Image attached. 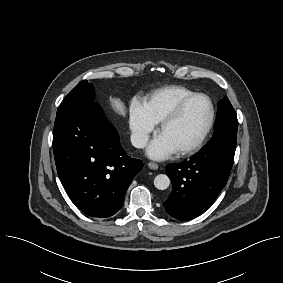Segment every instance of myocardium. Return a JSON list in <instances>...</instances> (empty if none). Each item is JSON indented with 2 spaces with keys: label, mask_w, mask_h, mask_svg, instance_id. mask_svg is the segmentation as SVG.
<instances>
[{
  "label": "myocardium",
  "mask_w": 283,
  "mask_h": 283,
  "mask_svg": "<svg viewBox=\"0 0 283 283\" xmlns=\"http://www.w3.org/2000/svg\"><path fill=\"white\" fill-rule=\"evenodd\" d=\"M198 98H205L209 101L210 103V118L208 121V124L205 128V130L203 131L202 135L200 136V138L193 143L192 145L183 148L179 151H176V154L178 156H188V155H192L194 153H196L206 142L212 128L215 122V116H216V108H215V104L212 100V98L210 96H208L207 94L204 93H195L185 99H183L174 109L173 111L167 115L161 122H160V126L158 129V132L161 133L164 129H166L169 125H171L172 123H174L183 113V111L185 110V108L195 99Z\"/></svg>",
  "instance_id": "obj_1"
}]
</instances>
